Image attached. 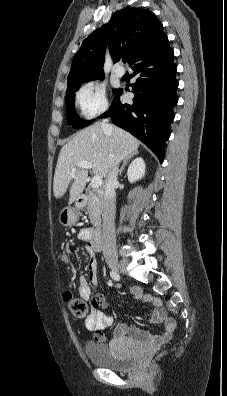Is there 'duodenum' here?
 I'll return each mask as SVG.
<instances>
[{"label": "duodenum", "mask_w": 227, "mask_h": 396, "mask_svg": "<svg viewBox=\"0 0 227 396\" xmlns=\"http://www.w3.org/2000/svg\"><path fill=\"white\" fill-rule=\"evenodd\" d=\"M87 195L82 194L76 199V206L77 207H83L85 206L87 202ZM91 238L93 243L96 245L97 248L101 249L103 247V233L101 228H95L91 234Z\"/></svg>", "instance_id": "1"}]
</instances>
